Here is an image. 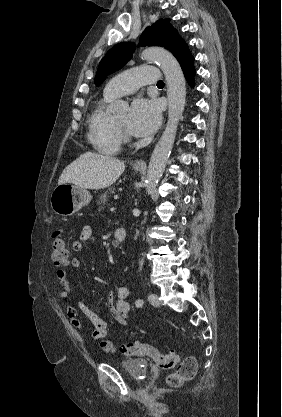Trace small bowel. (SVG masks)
Returning <instances> with one entry per match:
<instances>
[{"mask_svg": "<svg viewBox=\"0 0 282 417\" xmlns=\"http://www.w3.org/2000/svg\"><path fill=\"white\" fill-rule=\"evenodd\" d=\"M79 240L73 242L72 250L79 253L83 249V243H95L96 238L94 235V227L92 224H85L79 231ZM81 261L79 258L74 257L70 260L69 266L73 269L79 268ZM57 279L60 283L61 289L58 292V296L61 299H66L71 295L72 287L65 268H59L56 272ZM129 289L125 286L113 287L108 295V303L113 305V317L116 323L126 326L128 324V313L130 310V304L128 302ZM67 317L71 325L78 331L82 330L83 323L79 318V311H81L86 317L92 328V337L95 340H105L110 334V323L102 319L93 310H91L83 301H78L76 307L67 305L66 308Z\"/></svg>", "mask_w": 282, "mask_h": 417, "instance_id": "1", "label": "small bowel"}]
</instances>
